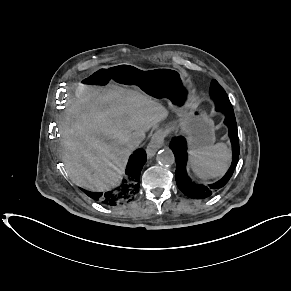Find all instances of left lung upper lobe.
I'll list each match as a JSON object with an SVG mask.
<instances>
[{"label":"left lung upper lobe","instance_id":"1","mask_svg":"<svg viewBox=\"0 0 291 291\" xmlns=\"http://www.w3.org/2000/svg\"><path fill=\"white\" fill-rule=\"evenodd\" d=\"M210 95L214 101H216L217 99H221L228 107L232 106L226 92L216 80L212 81Z\"/></svg>","mask_w":291,"mask_h":291}]
</instances>
